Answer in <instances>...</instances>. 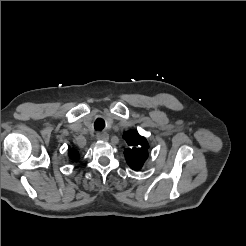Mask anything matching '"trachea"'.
<instances>
[{"instance_id": "obj_1", "label": "trachea", "mask_w": 246, "mask_h": 246, "mask_svg": "<svg viewBox=\"0 0 246 246\" xmlns=\"http://www.w3.org/2000/svg\"><path fill=\"white\" fill-rule=\"evenodd\" d=\"M95 130H102L105 127V122L103 119L99 118L94 123Z\"/></svg>"}]
</instances>
